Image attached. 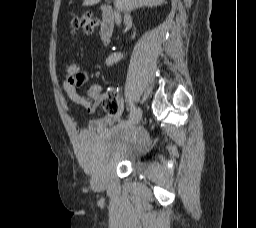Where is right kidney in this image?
I'll return each mask as SVG.
<instances>
[{
  "label": "right kidney",
  "mask_w": 256,
  "mask_h": 228,
  "mask_svg": "<svg viewBox=\"0 0 256 228\" xmlns=\"http://www.w3.org/2000/svg\"><path fill=\"white\" fill-rule=\"evenodd\" d=\"M122 58H123V55L121 53H114L106 59V64L107 66H111L114 63H117L118 61H120Z\"/></svg>",
  "instance_id": "obj_1"
}]
</instances>
